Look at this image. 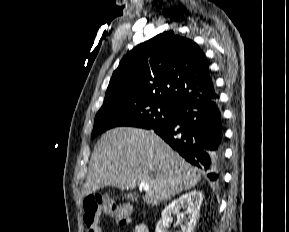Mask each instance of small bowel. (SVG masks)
Returning a JSON list of instances; mask_svg holds the SVG:
<instances>
[{
	"label": "small bowel",
	"mask_w": 289,
	"mask_h": 232,
	"mask_svg": "<svg viewBox=\"0 0 289 232\" xmlns=\"http://www.w3.org/2000/svg\"><path fill=\"white\" fill-rule=\"evenodd\" d=\"M133 232H149L148 228L146 225L144 224H137L135 227H134V230Z\"/></svg>",
	"instance_id": "c3829d8e"
}]
</instances>
